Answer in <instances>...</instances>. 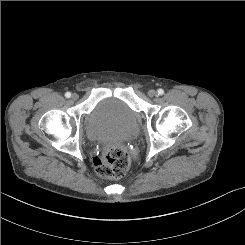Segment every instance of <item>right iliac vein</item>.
Instances as JSON below:
<instances>
[{
	"mask_svg": "<svg viewBox=\"0 0 245 245\" xmlns=\"http://www.w3.org/2000/svg\"><path fill=\"white\" fill-rule=\"evenodd\" d=\"M71 98H72V100L75 101L79 98V96H78V94L74 93V94H72Z\"/></svg>",
	"mask_w": 245,
	"mask_h": 245,
	"instance_id": "1",
	"label": "right iliac vein"
}]
</instances>
